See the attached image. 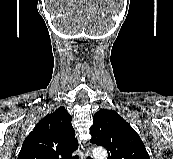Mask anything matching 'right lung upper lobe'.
<instances>
[{
  "instance_id": "right-lung-upper-lobe-1",
  "label": "right lung upper lobe",
  "mask_w": 173,
  "mask_h": 159,
  "mask_svg": "<svg viewBox=\"0 0 173 159\" xmlns=\"http://www.w3.org/2000/svg\"><path fill=\"white\" fill-rule=\"evenodd\" d=\"M71 120L64 107L45 116L24 140L18 159H78L72 156L78 141Z\"/></svg>"
}]
</instances>
